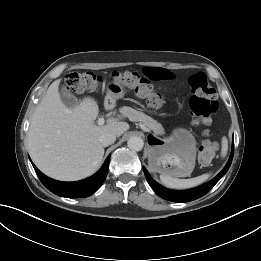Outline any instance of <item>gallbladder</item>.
Instances as JSON below:
<instances>
[{
  "label": "gallbladder",
  "mask_w": 261,
  "mask_h": 261,
  "mask_svg": "<svg viewBox=\"0 0 261 261\" xmlns=\"http://www.w3.org/2000/svg\"><path fill=\"white\" fill-rule=\"evenodd\" d=\"M61 94H62L61 95L62 102L69 109H73L78 105V101H77L76 97L73 94H71L70 92H68L67 90H62Z\"/></svg>",
  "instance_id": "bac80fb5"
}]
</instances>
